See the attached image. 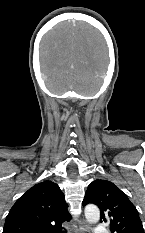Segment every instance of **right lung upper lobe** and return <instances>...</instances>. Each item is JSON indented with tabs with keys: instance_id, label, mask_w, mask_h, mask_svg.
<instances>
[{
	"instance_id": "obj_1",
	"label": "right lung upper lobe",
	"mask_w": 145,
	"mask_h": 233,
	"mask_svg": "<svg viewBox=\"0 0 145 233\" xmlns=\"http://www.w3.org/2000/svg\"><path fill=\"white\" fill-rule=\"evenodd\" d=\"M64 194L51 181L31 187L12 206L3 233H61L71 220Z\"/></svg>"
}]
</instances>
